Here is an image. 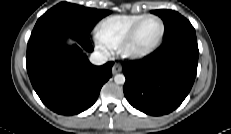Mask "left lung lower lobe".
Wrapping results in <instances>:
<instances>
[{
  "label": "left lung lower lobe",
  "instance_id": "left-lung-lower-lobe-1",
  "mask_svg": "<svg viewBox=\"0 0 231 134\" xmlns=\"http://www.w3.org/2000/svg\"><path fill=\"white\" fill-rule=\"evenodd\" d=\"M199 50L195 33L164 40L141 61L123 65L124 94L136 109L153 116L175 110L194 83Z\"/></svg>",
  "mask_w": 231,
  "mask_h": 134
}]
</instances>
